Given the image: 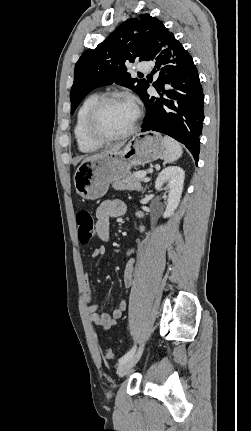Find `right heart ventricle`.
Wrapping results in <instances>:
<instances>
[{"label":"right heart ventricle","instance_id":"right-heart-ventricle-1","mask_svg":"<svg viewBox=\"0 0 251 431\" xmlns=\"http://www.w3.org/2000/svg\"><path fill=\"white\" fill-rule=\"evenodd\" d=\"M100 98L97 93L87 96L78 108L76 114V121L74 126V137L78 146V149L82 153H91L98 150L102 144L97 143L89 139L85 131V121L87 114L93 104Z\"/></svg>","mask_w":251,"mask_h":431}]
</instances>
